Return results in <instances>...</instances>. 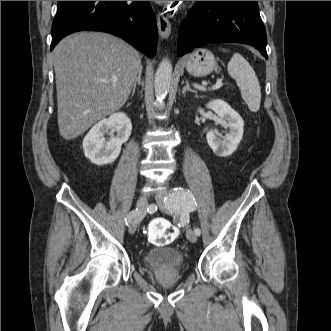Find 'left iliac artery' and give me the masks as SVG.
I'll return each mask as SVG.
<instances>
[{
  "instance_id": "1",
  "label": "left iliac artery",
  "mask_w": 331,
  "mask_h": 331,
  "mask_svg": "<svg viewBox=\"0 0 331 331\" xmlns=\"http://www.w3.org/2000/svg\"><path fill=\"white\" fill-rule=\"evenodd\" d=\"M166 208L172 212L179 214L184 220H187L189 214L196 209V202L189 190L177 187L168 197L164 199ZM197 236L201 234L199 228L195 229Z\"/></svg>"
}]
</instances>
